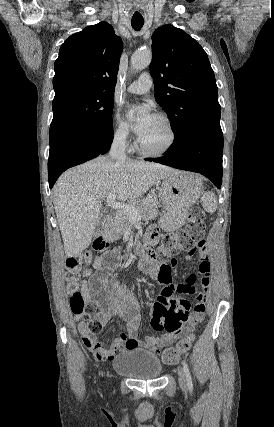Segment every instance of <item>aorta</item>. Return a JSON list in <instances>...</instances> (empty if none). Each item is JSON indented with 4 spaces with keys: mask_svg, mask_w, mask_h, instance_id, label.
Instances as JSON below:
<instances>
[{
    "mask_svg": "<svg viewBox=\"0 0 274 427\" xmlns=\"http://www.w3.org/2000/svg\"><path fill=\"white\" fill-rule=\"evenodd\" d=\"M152 52L150 49L137 50L131 57V68L140 71L150 65Z\"/></svg>",
    "mask_w": 274,
    "mask_h": 427,
    "instance_id": "762f6f07",
    "label": "aorta"
}]
</instances>
